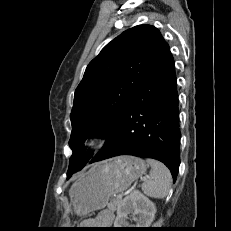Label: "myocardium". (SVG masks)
<instances>
[{
    "instance_id": "myocardium-1",
    "label": "myocardium",
    "mask_w": 231,
    "mask_h": 231,
    "mask_svg": "<svg viewBox=\"0 0 231 231\" xmlns=\"http://www.w3.org/2000/svg\"><path fill=\"white\" fill-rule=\"evenodd\" d=\"M104 143V139L101 136H92L87 138L83 142V146L86 149H96Z\"/></svg>"
}]
</instances>
